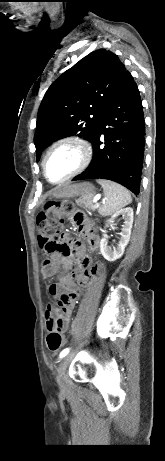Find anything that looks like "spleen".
<instances>
[{"label":"spleen","instance_id":"obj_1","mask_svg":"<svg viewBox=\"0 0 165 461\" xmlns=\"http://www.w3.org/2000/svg\"><path fill=\"white\" fill-rule=\"evenodd\" d=\"M97 182L103 187L105 196L99 208L102 216L111 215L132 202L129 191L123 186L109 180L100 179Z\"/></svg>","mask_w":165,"mask_h":461}]
</instances>
